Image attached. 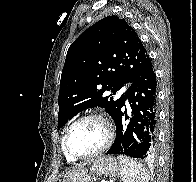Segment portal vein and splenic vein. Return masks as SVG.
<instances>
[{
    "instance_id": "1",
    "label": "portal vein and splenic vein",
    "mask_w": 196,
    "mask_h": 182,
    "mask_svg": "<svg viewBox=\"0 0 196 182\" xmlns=\"http://www.w3.org/2000/svg\"><path fill=\"white\" fill-rule=\"evenodd\" d=\"M101 182H107V181H105V180H102Z\"/></svg>"
}]
</instances>
